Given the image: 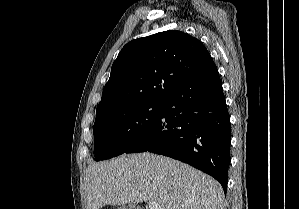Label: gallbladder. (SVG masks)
I'll list each match as a JSON object with an SVG mask.
<instances>
[{
	"instance_id": "bac80fb5",
	"label": "gallbladder",
	"mask_w": 299,
	"mask_h": 209,
	"mask_svg": "<svg viewBox=\"0 0 299 209\" xmlns=\"http://www.w3.org/2000/svg\"><path fill=\"white\" fill-rule=\"evenodd\" d=\"M129 209H141V208H138V207H135V206H134V208H129Z\"/></svg>"
}]
</instances>
